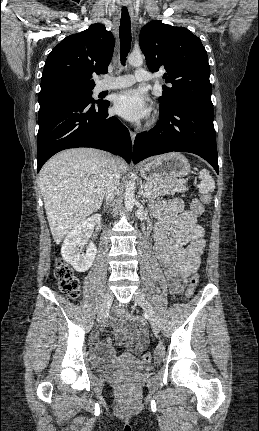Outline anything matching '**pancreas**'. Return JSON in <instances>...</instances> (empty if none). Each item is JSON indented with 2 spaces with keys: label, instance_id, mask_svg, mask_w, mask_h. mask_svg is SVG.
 Wrapping results in <instances>:
<instances>
[{
  "label": "pancreas",
  "instance_id": "obj_1",
  "mask_svg": "<svg viewBox=\"0 0 259 431\" xmlns=\"http://www.w3.org/2000/svg\"><path fill=\"white\" fill-rule=\"evenodd\" d=\"M146 190L149 191V200H153L159 196H174L176 192L184 193L187 187L179 180H166V179H151L143 183Z\"/></svg>",
  "mask_w": 259,
  "mask_h": 431
}]
</instances>
